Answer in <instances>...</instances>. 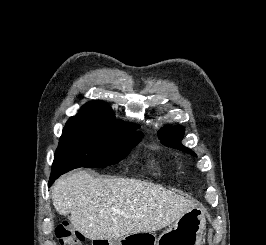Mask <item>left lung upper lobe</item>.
<instances>
[{"label": "left lung upper lobe", "instance_id": "5c2ea615", "mask_svg": "<svg viewBox=\"0 0 266 245\" xmlns=\"http://www.w3.org/2000/svg\"><path fill=\"white\" fill-rule=\"evenodd\" d=\"M183 134L184 128L182 126H166L158 131V137L164 145L177 148L183 152L191 154L192 156H196L193 151L182 145L181 140L183 138Z\"/></svg>", "mask_w": 266, "mask_h": 245}]
</instances>
